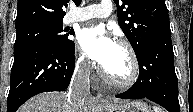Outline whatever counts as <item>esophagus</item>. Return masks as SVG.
<instances>
[{
	"instance_id": "obj_1",
	"label": "esophagus",
	"mask_w": 193,
	"mask_h": 112,
	"mask_svg": "<svg viewBox=\"0 0 193 112\" xmlns=\"http://www.w3.org/2000/svg\"><path fill=\"white\" fill-rule=\"evenodd\" d=\"M96 99L97 100H103V95L101 93L96 94Z\"/></svg>"
}]
</instances>
